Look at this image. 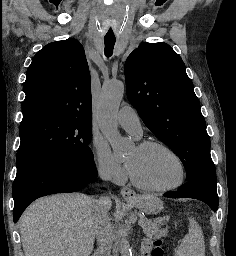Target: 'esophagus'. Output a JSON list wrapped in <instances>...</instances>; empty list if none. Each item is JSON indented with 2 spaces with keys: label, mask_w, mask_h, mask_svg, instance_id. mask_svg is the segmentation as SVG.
<instances>
[{
  "label": "esophagus",
  "mask_w": 236,
  "mask_h": 256,
  "mask_svg": "<svg viewBox=\"0 0 236 256\" xmlns=\"http://www.w3.org/2000/svg\"><path fill=\"white\" fill-rule=\"evenodd\" d=\"M120 194L125 200H133L137 197L136 192L128 186H124L123 188H121Z\"/></svg>",
  "instance_id": "34e87169"
}]
</instances>
